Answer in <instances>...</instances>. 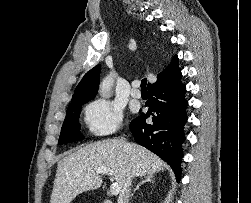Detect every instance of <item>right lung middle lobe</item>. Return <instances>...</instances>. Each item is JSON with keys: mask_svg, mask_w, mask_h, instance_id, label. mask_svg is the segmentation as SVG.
<instances>
[{"mask_svg": "<svg viewBox=\"0 0 251 203\" xmlns=\"http://www.w3.org/2000/svg\"><path fill=\"white\" fill-rule=\"evenodd\" d=\"M86 102L88 101L73 103L68 106L58 144L71 143L84 138L79 132L80 124L78 123V120L81 107Z\"/></svg>", "mask_w": 251, "mask_h": 203, "instance_id": "1", "label": "right lung middle lobe"}]
</instances>
